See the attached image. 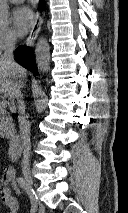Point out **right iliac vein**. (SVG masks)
Instances as JSON below:
<instances>
[{"instance_id": "63e3f726", "label": "right iliac vein", "mask_w": 128, "mask_h": 213, "mask_svg": "<svg viewBox=\"0 0 128 213\" xmlns=\"http://www.w3.org/2000/svg\"><path fill=\"white\" fill-rule=\"evenodd\" d=\"M22 173H23V176L26 180V183H27V186H28V189L29 191L31 192V198L33 200H35V196H34V193H32V191L34 190L33 189V179H32V176H31V171H30V168L29 167H23L22 169Z\"/></svg>"}]
</instances>
